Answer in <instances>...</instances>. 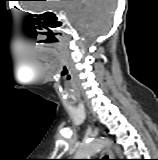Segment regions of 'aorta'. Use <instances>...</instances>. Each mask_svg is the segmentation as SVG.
<instances>
[{"label":"aorta","instance_id":"762f6f07","mask_svg":"<svg viewBox=\"0 0 158 160\" xmlns=\"http://www.w3.org/2000/svg\"><path fill=\"white\" fill-rule=\"evenodd\" d=\"M110 142L106 139H95L89 143L82 145L75 154V159H89L94 153L103 148L105 145H109ZM116 153L120 154V149L115 148Z\"/></svg>","mask_w":158,"mask_h":160}]
</instances>
